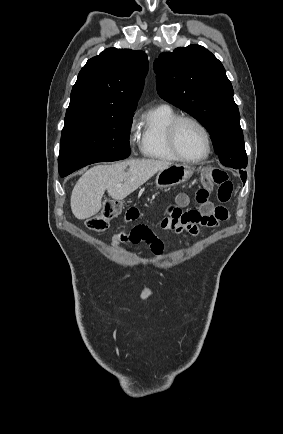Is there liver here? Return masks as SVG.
<instances>
[{
    "mask_svg": "<svg viewBox=\"0 0 283 434\" xmlns=\"http://www.w3.org/2000/svg\"><path fill=\"white\" fill-rule=\"evenodd\" d=\"M170 165L172 163L168 161L131 159L94 166L80 177L73 188L72 213L80 220L90 218L100 211L105 190L114 200H123Z\"/></svg>",
    "mask_w": 283,
    "mask_h": 434,
    "instance_id": "6515ba94",
    "label": "liver"
}]
</instances>
